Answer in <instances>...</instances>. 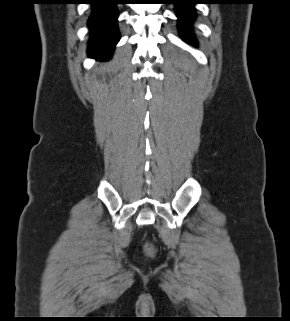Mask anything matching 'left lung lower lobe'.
<instances>
[{"label": "left lung lower lobe", "instance_id": "0a47b994", "mask_svg": "<svg viewBox=\"0 0 290 321\" xmlns=\"http://www.w3.org/2000/svg\"><path fill=\"white\" fill-rule=\"evenodd\" d=\"M199 3H202V0H173L172 3L176 5V12L179 18V29L187 42L196 43V39L192 35L191 23L195 16L193 5Z\"/></svg>", "mask_w": 290, "mask_h": 321}]
</instances>
